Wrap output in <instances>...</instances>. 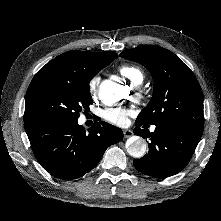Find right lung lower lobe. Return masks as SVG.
Instances as JSON below:
<instances>
[{
	"instance_id": "1",
	"label": "right lung lower lobe",
	"mask_w": 221,
	"mask_h": 221,
	"mask_svg": "<svg viewBox=\"0 0 221 221\" xmlns=\"http://www.w3.org/2000/svg\"><path fill=\"white\" fill-rule=\"evenodd\" d=\"M33 153L51 175L71 180L92 170L105 150L123 138V132L104 121L86 131L77 121L24 124Z\"/></svg>"
}]
</instances>
